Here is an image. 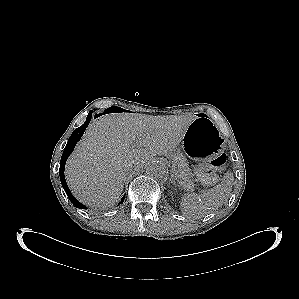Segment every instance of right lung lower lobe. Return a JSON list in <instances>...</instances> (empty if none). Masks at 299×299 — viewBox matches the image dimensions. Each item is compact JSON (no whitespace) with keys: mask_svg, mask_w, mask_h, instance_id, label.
<instances>
[{"mask_svg":"<svg viewBox=\"0 0 299 299\" xmlns=\"http://www.w3.org/2000/svg\"><path fill=\"white\" fill-rule=\"evenodd\" d=\"M91 117H92V111H89V114L87 116V119L85 121V123L77 128L70 136L68 142H67V145L63 151V154H62V157H61V162H60V168H59V175H60V180H61V184L67 194V196L69 197L70 201L78 208L80 209H87L86 206H84L83 204H81L80 202H78L76 200V198L71 194L68 186H67V183L65 181V178H64V169H65V163L67 161V158L69 157V155L72 153V151L74 150L75 148V145L76 143L80 140L81 136L84 134V131L86 129V127L89 125V122L91 120ZM95 117H97V115H95ZM125 199V196H123L122 200L120 203H123Z\"/></svg>","mask_w":299,"mask_h":299,"instance_id":"obj_1","label":"right lung lower lobe"}]
</instances>
